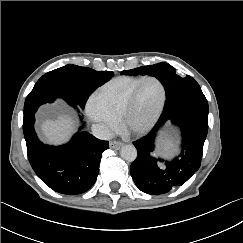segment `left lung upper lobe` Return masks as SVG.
I'll list each match as a JSON object with an SVG mask.
<instances>
[{"mask_svg": "<svg viewBox=\"0 0 243 243\" xmlns=\"http://www.w3.org/2000/svg\"><path fill=\"white\" fill-rule=\"evenodd\" d=\"M122 74H129L133 76L138 74H148L150 76H155L165 88V106L173 103L187 94L201 91L199 84L191 76L180 77L176 73V70L167 63L142 66L128 71H122Z\"/></svg>", "mask_w": 243, "mask_h": 243, "instance_id": "left-lung-upper-lobe-1", "label": "left lung upper lobe"}]
</instances>
